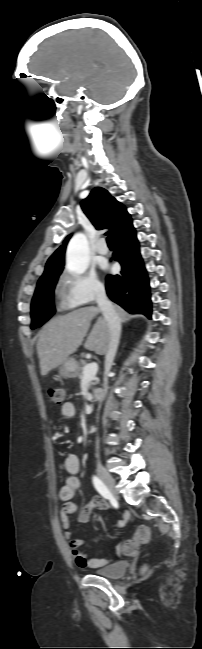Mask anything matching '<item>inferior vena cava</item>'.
<instances>
[{
	"label": "inferior vena cava",
	"instance_id": "inferior-vena-cava-1",
	"mask_svg": "<svg viewBox=\"0 0 202 649\" xmlns=\"http://www.w3.org/2000/svg\"><path fill=\"white\" fill-rule=\"evenodd\" d=\"M96 302L99 309L103 312V315L106 318L109 326L110 338L108 343V349L105 355L106 374H108L119 345L120 334H121V318L116 308L108 300L104 287H100L98 289L96 293ZM106 385L107 384L105 382L104 389L100 392L101 396H104L106 394V388H107ZM96 449L97 451L99 449L98 443H96Z\"/></svg>",
	"mask_w": 202,
	"mask_h": 649
}]
</instances>
